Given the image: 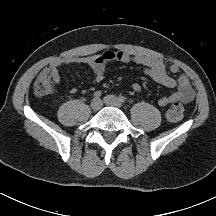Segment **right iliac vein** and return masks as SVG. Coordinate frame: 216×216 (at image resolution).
<instances>
[{"label": "right iliac vein", "instance_id": "obj_1", "mask_svg": "<svg viewBox=\"0 0 216 216\" xmlns=\"http://www.w3.org/2000/svg\"><path fill=\"white\" fill-rule=\"evenodd\" d=\"M90 106L94 111H98L102 107V102L100 99H93Z\"/></svg>", "mask_w": 216, "mask_h": 216}]
</instances>
